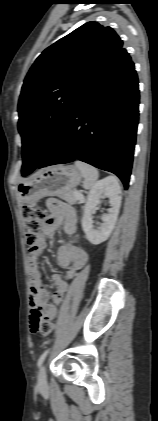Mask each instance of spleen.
Segmentation results:
<instances>
[{"label":"spleen","mask_w":158,"mask_h":421,"mask_svg":"<svg viewBox=\"0 0 158 421\" xmlns=\"http://www.w3.org/2000/svg\"><path fill=\"white\" fill-rule=\"evenodd\" d=\"M75 166L84 177L83 187L85 189H92L96 185L99 178L98 170L93 166L81 161H76Z\"/></svg>","instance_id":"obj_1"}]
</instances>
